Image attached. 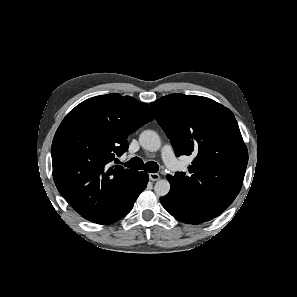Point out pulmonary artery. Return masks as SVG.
I'll return each instance as SVG.
<instances>
[{
  "label": "pulmonary artery",
  "mask_w": 297,
  "mask_h": 297,
  "mask_svg": "<svg viewBox=\"0 0 297 297\" xmlns=\"http://www.w3.org/2000/svg\"><path fill=\"white\" fill-rule=\"evenodd\" d=\"M161 155L165 165L168 168L173 169L174 165L176 164V158L172 146L169 144L165 145L162 148Z\"/></svg>",
  "instance_id": "e3ab8cb5"
}]
</instances>
